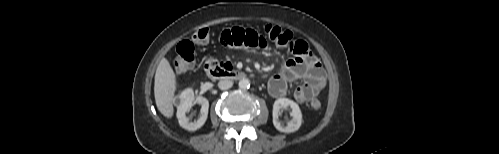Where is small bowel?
Here are the masks:
<instances>
[{
  "label": "small bowel",
  "mask_w": 499,
  "mask_h": 154,
  "mask_svg": "<svg viewBox=\"0 0 499 154\" xmlns=\"http://www.w3.org/2000/svg\"><path fill=\"white\" fill-rule=\"evenodd\" d=\"M220 43L230 49H266V37L253 29L234 27L223 31ZM292 57L287 60L281 73L272 76L268 90L275 98L284 97L288 86L297 80L303 83L294 90V99L304 104L315 99L326 86L324 69L303 40H291L287 45Z\"/></svg>",
  "instance_id": "1"
}]
</instances>
